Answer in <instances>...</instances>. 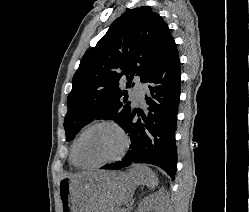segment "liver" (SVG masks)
<instances>
[{
  "label": "liver",
  "mask_w": 249,
  "mask_h": 212,
  "mask_svg": "<svg viewBox=\"0 0 249 212\" xmlns=\"http://www.w3.org/2000/svg\"><path fill=\"white\" fill-rule=\"evenodd\" d=\"M146 172V166H133L128 174L98 170V172L74 174L73 178H79L92 190H96L98 206H101L104 212H109L114 206H124L132 200L137 186L145 184Z\"/></svg>",
  "instance_id": "1"
}]
</instances>
